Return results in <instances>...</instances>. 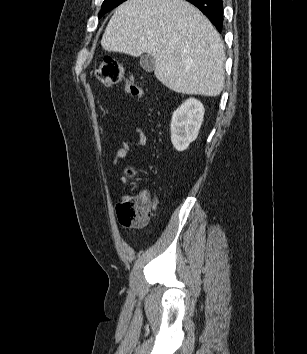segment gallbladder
Listing matches in <instances>:
<instances>
[{"label":"gallbladder","instance_id":"gallbladder-1","mask_svg":"<svg viewBox=\"0 0 307 354\" xmlns=\"http://www.w3.org/2000/svg\"><path fill=\"white\" fill-rule=\"evenodd\" d=\"M140 66L146 72H152L155 69V59L149 54H144L140 57Z\"/></svg>","mask_w":307,"mask_h":354}]
</instances>
